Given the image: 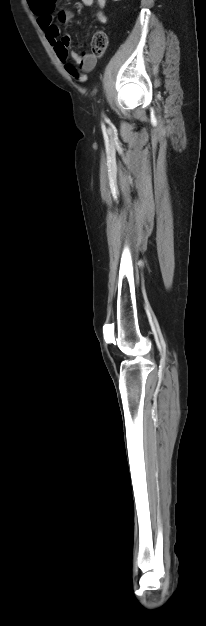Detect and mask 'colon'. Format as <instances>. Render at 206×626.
Here are the masks:
<instances>
[{
    "label": "colon",
    "instance_id": "1",
    "mask_svg": "<svg viewBox=\"0 0 206 626\" xmlns=\"http://www.w3.org/2000/svg\"><path fill=\"white\" fill-rule=\"evenodd\" d=\"M108 47V37L105 32L97 31L91 41L92 54L96 57H101ZM82 81L86 80L85 76H81Z\"/></svg>",
    "mask_w": 206,
    "mask_h": 626
}]
</instances>
